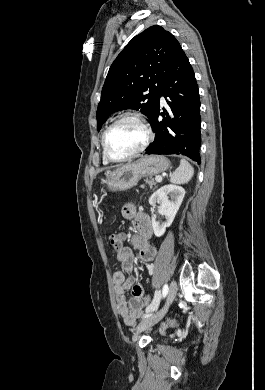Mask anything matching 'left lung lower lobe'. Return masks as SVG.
Returning <instances> with one entry per match:
<instances>
[{
	"instance_id": "0a47b994",
	"label": "left lung lower lobe",
	"mask_w": 265,
	"mask_h": 390,
	"mask_svg": "<svg viewBox=\"0 0 265 390\" xmlns=\"http://www.w3.org/2000/svg\"><path fill=\"white\" fill-rule=\"evenodd\" d=\"M161 96L169 97L166 100L169 112L164 109L160 113ZM159 116L163 117L161 121ZM150 122L156 135L153 143L146 148V154L184 155L201 163L199 91L192 66L184 52L158 92L157 105Z\"/></svg>"
}]
</instances>
